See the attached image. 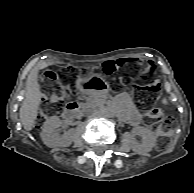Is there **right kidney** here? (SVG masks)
Wrapping results in <instances>:
<instances>
[{"mask_svg": "<svg viewBox=\"0 0 194 193\" xmlns=\"http://www.w3.org/2000/svg\"><path fill=\"white\" fill-rule=\"evenodd\" d=\"M61 122L58 116H52L44 122L40 133L43 143L50 147H68L72 143V133L68 131L63 135L54 133V130L60 126Z\"/></svg>", "mask_w": 194, "mask_h": 193, "instance_id": "obj_1", "label": "right kidney"}]
</instances>
